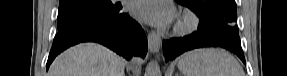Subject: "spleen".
I'll return each mask as SVG.
<instances>
[{
  "label": "spleen",
  "instance_id": "spleen-1",
  "mask_svg": "<svg viewBox=\"0 0 287 76\" xmlns=\"http://www.w3.org/2000/svg\"><path fill=\"white\" fill-rule=\"evenodd\" d=\"M184 76H245L238 61L219 48L195 49L184 53L178 61Z\"/></svg>",
  "mask_w": 287,
  "mask_h": 76
}]
</instances>
